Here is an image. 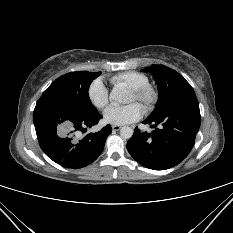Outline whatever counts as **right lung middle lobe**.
Segmentation results:
<instances>
[{"instance_id":"1","label":"right lung middle lobe","mask_w":233,"mask_h":233,"mask_svg":"<svg viewBox=\"0 0 233 233\" xmlns=\"http://www.w3.org/2000/svg\"><path fill=\"white\" fill-rule=\"evenodd\" d=\"M101 72H70L57 78L43 93L42 96H51L79 112H93L88 89L91 82Z\"/></svg>"}]
</instances>
